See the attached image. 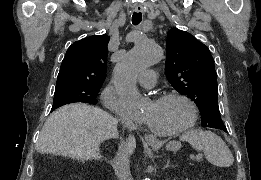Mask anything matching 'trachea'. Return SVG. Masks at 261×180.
Segmentation results:
<instances>
[{
  "mask_svg": "<svg viewBox=\"0 0 261 180\" xmlns=\"http://www.w3.org/2000/svg\"><path fill=\"white\" fill-rule=\"evenodd\" d=\"M142 20V14L141 12L137 13V12H134L133 15H132V23L134 25H138Z\"/></svg>",
  "mask_w": 261,
  "mask_h": 180,
  "instance_id": "obj_1",
  "label": "trachea"
}]
</instances>
